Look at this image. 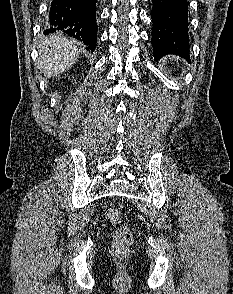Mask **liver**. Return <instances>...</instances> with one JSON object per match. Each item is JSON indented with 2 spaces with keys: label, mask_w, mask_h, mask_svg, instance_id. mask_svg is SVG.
Listing matches in <instances>:
<instances>
[{
  "label": "liver",
  "mask_w": 233,
  "mask_h": 294,
  "mask_svg": "<svg viewBox=\"0 0 233 294\" xmlns=\"http://www.w3.org/2000/svg\"><path fill=\"white\" fill-rule=\"evenodd\" d=\"M78 55L79 49L73 41L50 35L39 46L38 64L44 76L51 78L69 69Z\"/></svg>",
  "instance_id": "1"
}]
</instances>
